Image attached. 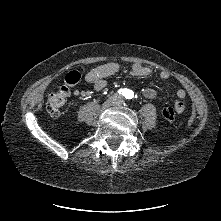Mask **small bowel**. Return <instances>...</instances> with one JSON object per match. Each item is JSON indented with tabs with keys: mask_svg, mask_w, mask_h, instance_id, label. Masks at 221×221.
I'll list each match as a JSON object with an SVG mask.
<instances>
[{
	"mask_svg": "<svg viewBox=\"0 0 221 221\" xmlns=\"http://www.w3.org/2000/svg\"><path fill=\"white\" fill-rule=\"evenodd\" d=\"M119 70V65L114 62H109L100 66H97L85 75V80L88 83H91L94 86V89L97 91L102 90L105 85V79ZM152 73V69L148 66L142 65L140 63H135L132 65L129 70V74L136 77H145L149 76ZM160 78L167 80L170 78V73L167 70H161ZM143 94L148 99H153L156 97L157 92L152 88H146L143 91ZM177 99L174 101V107L184 108L183 99L186 96V93L183 89H179L176 93Z\"/></svg>",
	"mask_w": 221,
	"mask_h": 221,
	"instance_id": "1",
	"label": "small bowel"
}]
</instances>
